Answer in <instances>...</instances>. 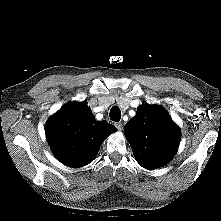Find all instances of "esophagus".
Listing matches in <instances>:
<instances>
[{
  "label": "esophagus",
  "instance_id": "34e87169",
  "mask_svg": "<svg viewBox=\"0 0 221 221\" xmlns=\"http://www.w3.org/2000/svg\"><path fill=\"white\" fill-rule=\"evenodd\" d=\"M115 126L117 127V129H118L119 131H122L123 125H122L121 122H117V123L115 124Z\"/></svg>",
  "mask_w": 221,
  "mask_h": 221
}]
</instances>
